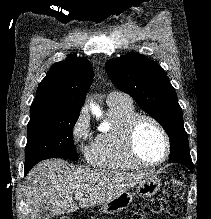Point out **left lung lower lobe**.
I'll return each instance as SVG.
<instances>
[{
	"label": "left lung lower lobe",
	"instance_id": "0a47b994",
	"mask_svg": "<svg viewBox=\"0 0 211 219\" xmlns=\"http://www.w3.org/2000/svg\"><path fill=\"white\" fill-rule=\"evenodd\" d=\"M169 159L172 162L180 163L182 165H185L190 170L193 169V163H192V160H191V157H190V153L189 154H180V155H177V156H172V157H169Z\"/></svg>",
	"mask_w": 211,
	"mask_h": 219
}]
</instances>
